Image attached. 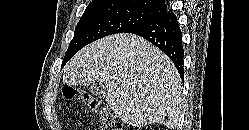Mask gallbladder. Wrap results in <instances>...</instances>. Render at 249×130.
I'll list each match as a JSON object with an SVG mask.
<instances>
[{
    "label": "gallbladder",
    "instance_id": "1",
    "mask_svg": "<svg viewBox=\"0 0 249 130\" xmlns=\"http://www.w3.org/2000/svg\"><path fill=\"white\" fill-rule=\"evenodd\" d=\"M89 90L92 93V95L99 97V98H103L106 95V89L100 83H95V84L90 85Z\"/></svg>",
    "mask_w": 249,
    "mask_h": 130
}]
</instances>
